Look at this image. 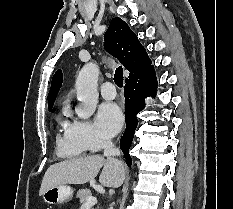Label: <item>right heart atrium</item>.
<instances>
[{
    "label": "right heart atrium",
    "mask_w": 233,
    "mask_h": 209,
    "mask_svg": "<svg viewBox=\"0 0 233 209\" xmlns=\"http://www.w3.org/2000/svg\"><path fill=\"white\" fill-rule=\"evenodd\" d=\"M69 134L75 143L87 151L95 152L110 144L89 121L74 120L70 124Z\"/></svg>",
    "instance_id": "d8ad5b80"
}]
</instances>
